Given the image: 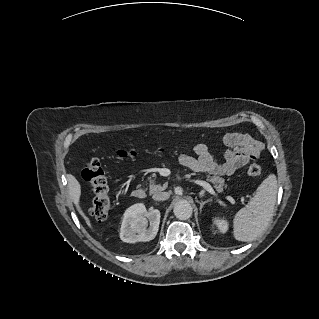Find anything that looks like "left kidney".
Masks as SVG:
<instances>
[{"instance_id": "1", "label": "left kidney", "mask_w": 319, "mask_h": 319, "mask_svg": "<svg viewBox=\"0 0 319 319\" xmlns=\"http://www.w3.org/2000/svg\"><path fill=\"white\" fill-rule=\"evenodd\" d=\"M214 224L218 227L221 233H226L228 230V222L224 218L214 217Z\"/></svg>"}]
</instances>
